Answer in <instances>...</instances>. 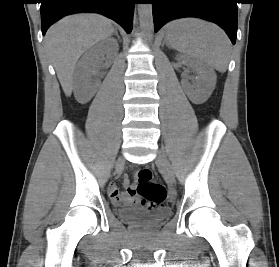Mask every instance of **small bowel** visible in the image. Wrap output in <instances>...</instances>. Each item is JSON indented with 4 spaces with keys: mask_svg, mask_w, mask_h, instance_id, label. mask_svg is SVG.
<instances>
[{
    "mask_svg": "<svg viewBox=\"0 0 279 267\" xmlns=\"http://www.w3.org/2000/svg\"><path fill=\"white\" fill-rule=\"evenodd\" d=\"M124 184L128 187L127 192L121 193L117 184L112 183L108 188L109 195L114 204L117 205H132L136 200V192L133 187L129 186V180L124 178Z\"/></svg>",
    "mask_w": 279,
    "mask_h": 267,
    "instance_id": "1",
    "label": "small bowel"
}]
</instances>
